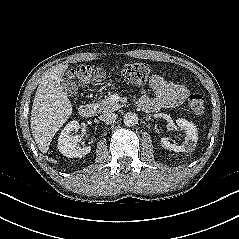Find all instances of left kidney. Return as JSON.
Wrapping results in <instances>:
<instances>
[{
    "instance_id": "obj_1",
    "label": "left kidney",
    "mask_w": 239,
    "mask_h": 239,
    "mask_svg": "<svg viewBox=\"0 0 239 239\" xmlns=\"http://www.w3.org/2000/svg\"><path fill=\"white\" fill-rule=\"evenodd\" d=\"M176 124L185 131V142L181 145H177L171 143L168 137H163L161 138L162 146L175 152H192L195 149L198 140L196 126L183 118L177 119Z\"/></svg>"
}]
</instances>
